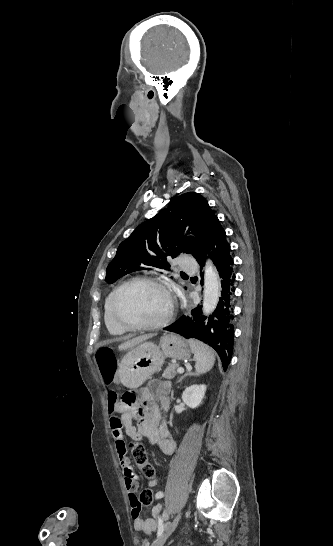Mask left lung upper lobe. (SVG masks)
Wrapping results in <instances>:
<instances>
[{
	"instance_id": "left-lung-upper-lobe-1",
	"label": "left lung upper lobe",
	"mask_w": 333,
	"mask_h": 546,
	"mask_svg": "<svg viewBox=\"0 0 333 546\" xmlns=\"http://www.w3.org/2000/svg\"><path fill=\"white\" fill-rule=\"evenodd\" d=\"M217 219L207 200L197 193L188 192L174 198L168 208L139 225L120 243L106 269L105 281L113 283L138 270L170 272L167 258H175L180 253L195 257L208 241ZM185 231H191L196 239L185 237Z\"/></svg>"
}]
</instances>
